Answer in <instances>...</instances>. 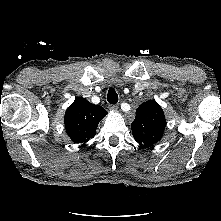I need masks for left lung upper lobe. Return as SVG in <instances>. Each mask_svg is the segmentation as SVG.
Here are the masks:
<instances>
[{
	"label": "left lung upper lobe",
	"mask_w": 221,
	"mask_h": 221,
	"mask_svg": "<svg viewBox=\"0 0 221 221\" xmlns=\"http://www.w3.org/2000/svg\"><path fill=\"white\" fill-rule=\"evenodd\" d=\"M165 126L162 108L155 100H149L137 108L131 129L136 142L150 146L161 140Z\"/></svg>",
	"instance_id": "1"
}]
</instances>
